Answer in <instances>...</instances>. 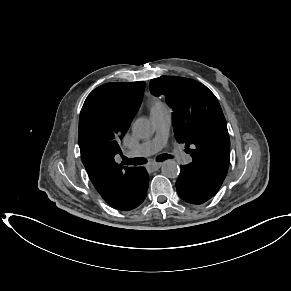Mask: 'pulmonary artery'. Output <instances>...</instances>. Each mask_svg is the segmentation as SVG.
<instances>
[{
    "label": "pulmonary artery",
    "instance_id": "1",
    "mask_svg": "<svg viewBox=\"0 0 291 291\" xmlns=\"http://www.w3.org/2000/svg\"><path fill=\"white\" fill-rule=\"evenodd\" d=\"M150 116L155 125L154 137L143 141L133 150L127 152V156L147 157L158 152L166 145L171 122L169 110L165 109L157 113H152ZM174 157L181 163H188L191 160L190 156L181 150H176L174 152Z\"/></svg>",
    "mask_w": 291,
    "mask_h": 291
}]
</instances>
